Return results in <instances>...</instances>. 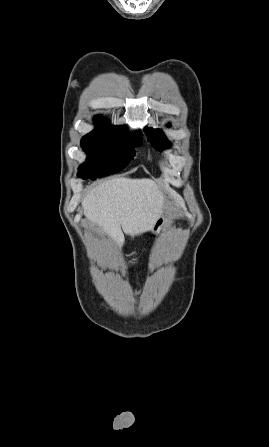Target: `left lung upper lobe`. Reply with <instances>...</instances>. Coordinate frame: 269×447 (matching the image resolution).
Masks as SVG:
<instances>
[{
    "label": "left lung upper lobe",
    "instance_id": "5c2ea615",
    "mask_svg": "<svg viewBox=\"0 0 269 447\" xmlns=\"http://www.w3.org/2000/svg\"><path fill=\"white\" fill-rule=\"evenodd\" d=\"M145 132L148 136V140L156 146L157 149L162 150L166 146H169V142L166 139L164 133L159 129L145 128Z\"/></svg>",
    "mask_w": 269,
    "mask_h": 447
}]
</instances>
